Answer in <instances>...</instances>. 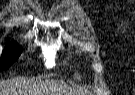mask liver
Returning a JSON list of instances; mask_svg holds the SVG:
<instances>
[{
  "label": "liver",
  "mask_w": 135,
  "mask_h": 95,
  "mask_svg": "<svg viewBox=\"0 0 135 95\" xmlns=\"http://www.w3.org/2000/svg\"><path fill=\"white\" fill-rule=\"evenodd\" d=\"M73 93L75 92L65 83L53 80L32 82L22 77L0 80V95H74Z\"/></svg>",
  "instance_id": "6515ba94"
}]
</instances>
